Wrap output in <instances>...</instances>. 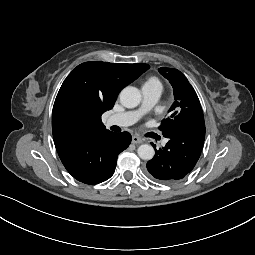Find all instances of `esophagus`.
Here are the masks:
<instances>
[{"label":"esophagus","mask_w":255,"mask_h":255,"mask_svg":"<svg viewBox=\"0 0 255 255\" xmlns=\"http://www.w3.org/2000/svg\"><path fill=\"white\" fill-rule=\"evenodd\" d=\"M142 142H143V140L140 137H138L136 135L132 136V143L133 144H141Z\"/></svg>","instance_id":"obj_1"}]
</instances>
